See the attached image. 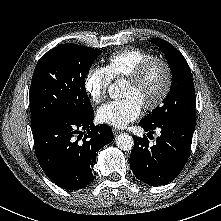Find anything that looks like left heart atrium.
Segmentation results:
<instances>
[{
  "instance_id": "obj_1",
  "label": "left heart atrium",
  "mask_w": 221,
  "mask_h": 221,
  "mask_svg": "<svg viewBox=\"0 0 221 221\" xmlns=\"http://www.w3.org/2000/svg\"><path fill=\"white\" fill-rule=\"evenodd\" d=\"M142 112L139 101L127 96L101 106L97 111L98 119L116 128H123L137 119Z\"/></svg>"
}]
</instances>
